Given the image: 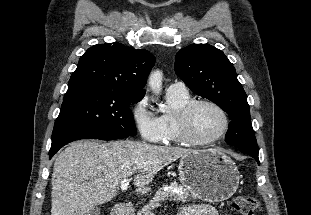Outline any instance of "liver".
<instances>
[{
	"instance_id": "obj_1",
	"label": "liver",
	"mask_w": 311,
	"mask_h": 215,
	"mask_svg": "<svg viewBox=\"0 0 311 215\" xmlns=\"http://www.w3.org/2000/svg\"><path fill=\"white\" fill-rule=\"evenodd\" d=\"M190 152L131 140L73 142L54 163L51 215H88L111 201L135 172L133 184L141 192L157 172Z\"/></svg>"
}]
</instances>
